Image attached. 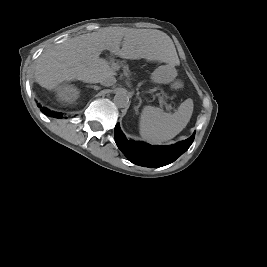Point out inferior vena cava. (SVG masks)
Returning <instances> with one entry per match:
<instances>
[{
  "instance_id": "obj_1",
  "label": "inferior vena cava",
  "mask_w": 267,
  "mask_h": 267,
  "mask_svg": "<svg viewBox=\"0 0 267 267\" xmlns=\"http://www.w3.org/2000/svg\"><path fill=\"white\" fill-rule=\"evenodd\" d=\"M95 83H101L104 86H112L116 83V79L114 76L110 74H106L101 76L99 79L94 80Z\"/></svg>"
}]
</instances>
